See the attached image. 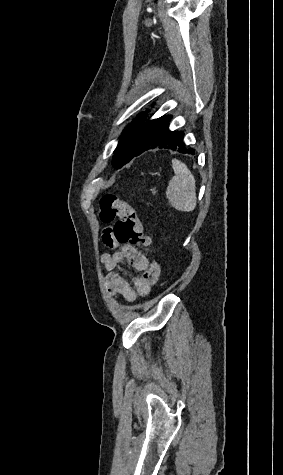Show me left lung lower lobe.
Returning <instances> with one entry per match:
<instances>
[{
    "mask_svg": "<svg viewBox=\"0 0 283 475\" xmlns=\"http://www.w3.org/2000/svg\"><path fill=\"white\" fill-rule=\"evenodd\" d=\"M172 116L147 120L138 135L124 134L115 150L113 166L117 169L142 153L159 148L171 149L181 153L195 154V149L185 145L183 131H171L169 122Z\"/></svg>",
    "mask_w": 283,
    "mask_h": 475,
    "instance_id": "obj_1",
    "label": "left lung lower lobe"
}]
</instances>
